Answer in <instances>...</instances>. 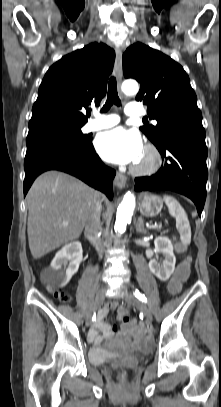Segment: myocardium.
Returning a JSON list of instances; mask_svg holds the SVG:
<instances>
[{
    "instance_id": "myocardium-1",
    "label": "myocardium",
    "mask_w": 221,
    "mask_h": 407,
    "mask_svg": "<svg viewBox=\"0 0 221 407\" xmlns=\"http://www.w3.org/2000/svg\"><path fill=\"white\" fill-rule=\"evenodd\" d=\"M144 152L149 156V163L144 166L135 164L131 171L138 176H149L156 173L162 166V155L160 151L152 144H147Z\"/></svg>"
}]
</instances>
